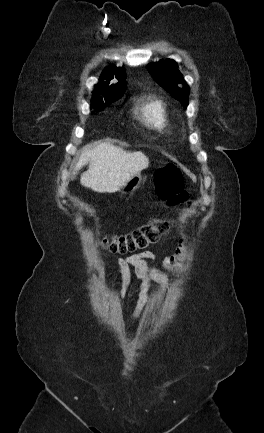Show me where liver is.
<instances>
[{
	"label": "liver",
	"instance_id": "6515ba94",
	"mask_svg": "<svg viewBox=\"0 0 264 433\" xmlns=\"http://www.w3.org/2000/svg\"><path fill=\"white\" fill-rule=\"evenodd\" d=\"M88 161L89 168L81 175L80 183L100 193L119 191L127 180L149 164V159L141 151L126 152L109 142L84 147L73 174Z\"/></svg>",
	"mask_w": 264,
	"mask_h": 433
}]
</instances>
